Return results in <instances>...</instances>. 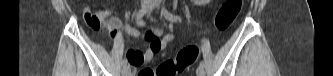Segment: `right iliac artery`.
<instances>
[{
  "mask_svg": "<svg viewBox=\"0 0 333 76\" xmlns=\"http://www.w3.org/2000/svg\"><path fill=\"white\" fill-rule=\"evenodd\" d=\"M160 3H161L160 0H153V1L149 2L148 3V8H142L137 12V14H136L137 20L143 21L142 18L147 13V11L149 9H153L155 7H158L160 5ZM122 66H123V68H125L127 66V60L126 59L122 60Z\"/></svg>",
  "mask_w": 333,
  "mask_h": 76,
  "instance_id": "right-iliac-artery-1",
  "label": "right iliac artery"
}]
</instances>
